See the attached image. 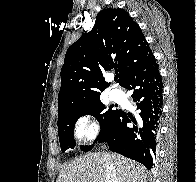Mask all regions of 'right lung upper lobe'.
Returning a JSON list of instances; mask_svg holds the SVG:
<instances>
[{
  "instance_id": "obj_1",
  "label": "right lung upper lobe",
  "mask_w": 196,
  "mask_h": 182,
  "mask_svg": "<svg viewBox=\"0 0 196 182\" xmlns=\"http://www.w3.org/2000/svg\"><path fill=\"white\" fill-rule=\"evenodd\" d=\"M154 55L139 25L123 9H104L95 25L67 50L61 69L58 115L100 96L108 87L102 71L120 73L123 87Z\"/></svg>"
}]
</instances>
